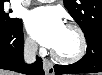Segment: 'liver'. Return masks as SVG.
<instances>
[{
	"instance_id": "liver-1",
	"label": "liver",
	"mask_w": 102,
	"mask_h": 75,
	"mask_svg": "<svg viewBox=\"0 0 102 75\" xmlns=\"http://www.w3.org/2000/svg\"><path fill=\"white\" fill-rule=\"evenodd\" d=\"M0 75H16V74H14L12 72H8V71H1Z\"/></svg>"
}]
</instances>
